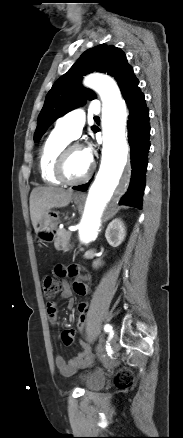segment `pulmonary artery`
I'll return each mask as SVG.
<instances>
[{"mask_svg":"<svg viewBox=\"0 0 183 438\" xmlns=\"http://www.w3.org/2000/svg\"><path fill=\"white\" fill-rule=\"evenodd\" d=\"M89 111L93 114H99L101 112V105L98 101L94 100L90 103ZM85 124V113L81 108L71 110L56 122L58 131L62 132L70 139H76Z\"/></svg>","mask_w":183,"mask_h":438,"instance_id":"e3ab8cb5","label":"pulmonary artery"}]
</instances>
